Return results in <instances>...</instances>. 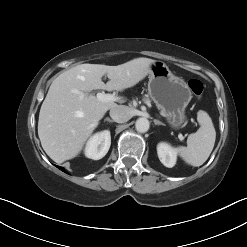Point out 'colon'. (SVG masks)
<instances>
[{
	"instance_id": "1",
	"label": "colon",
	"mask_w": 247,
	"mask_h": 247,
	"mask_svg": "<svg viewBox=\"0 0 247 247\" xmlns=\"http://www.w3.org/2000/svg\"><path fill=\"white\" fill-rule=\"evenodd\" d=\"M188 85L193 94H195L196 96H201L203 92V84L201 81L197 79H191L188 82Z\"/></svg>"
}]
</instances>
